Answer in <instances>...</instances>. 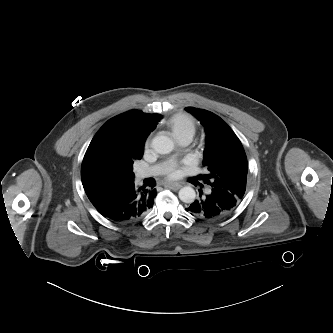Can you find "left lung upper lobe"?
I'll return each instance as SVG.
<instances>
[{
    "label": "left lung upper lobe",
    "instance_id": "1",
    "mask_svg": "<svg viewBox=\"0 0 333 333\" xmlns=\"http://www.w3.org/2000/svg\"><path fill=\"white\" fill-rule=\"evenodd\" d=\"M206 129L203 166L209 174L205 182L213 188L229 191L238 201L244 197L247 179V157L232 129L217 115L194 107L185 108Z\"/></svg>",
    "mask_w": 333,
    "mask_h": 333
}]
</instances>
